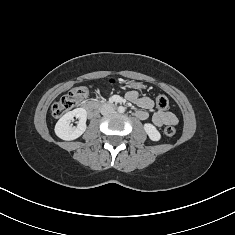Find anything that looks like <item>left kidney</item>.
<instances>
[{
  "label": "left kidney",
  "instance_id": "1",
  "mask_svg": "<svg viewBox=\"0 0 235 235\" xmlns=\"http://www.w3.org/2000/svg\"><path fill=\"white\" fill-rule=\"evenodd\" d=\"M144 130L152 141H159L161 139L160 132L153 124L145 123Z\"/></svg>",
  "mask_w": 235,
  "mask_h": 235
}]
</instances>
